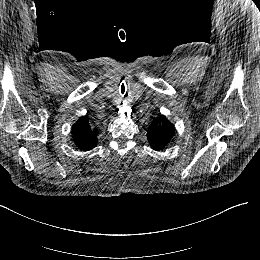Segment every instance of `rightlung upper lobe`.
Returning <instances> with one entry per match:
<instances>
[{"label":"right lung upper lobe","mask_w":260,"mask_h":260,"mask_svg":"<svg viewBox=\"0 0 260 260\" xmlns=\"http://www.w3.org/2000/svg\"><path fill=\"white\" fill-rule=\"evenodd\" d=\"M72 135L76 146L84 151L93 149L98 143V130L90 125L87 116L81 117L73 125Z\"/></svg>","instance_id":"right-lung-upper-lobe-1"}]
</instances>
